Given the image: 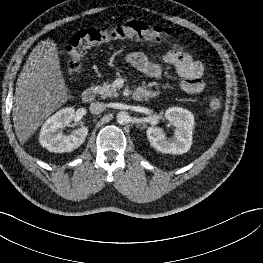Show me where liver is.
I'll return each mask as SVG.
<instances>
[{"mask_svg": "<svg viewBox=\"0 0 263 263\" xmlns=\"http://www.w3.org/2000/svg\"><path fill=\"white\" fill-rule=\"evenodd\" d=\"M67 100V87L53 40H44L30 53L17 80L13 123L24 144Z\"/></svg>", "mask_w": 263, "mask_h": 263, "instance_id": "6515ba94", "label": "liver"}]
</instances>
